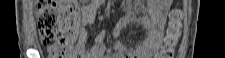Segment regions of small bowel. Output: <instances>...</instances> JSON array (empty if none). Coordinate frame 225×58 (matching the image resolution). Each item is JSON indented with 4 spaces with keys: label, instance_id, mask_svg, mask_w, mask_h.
I'll return each mask as SVG.
<instances>
[{
    "label": "small bowel",
    "instance_id": "obj_1",
    "mask_svg": "<svg viewBox=\"0 0 225 58\" xmlns=\"http://www.w3.org/2000/svg\"><path fill=\"white\" fill-rule=\"evenodd\" d=\"M104 0H92L82 7L81 29L76 44V53L79 58H151L159 51L166 14L170 7V0H156L147 4L150 14L148 18L136 19L127 15L120 19L113 30V37L118 40L121 30L131 24H138L145 28V34L134 47L118 44L116 50L106 46L107 32L101 31L95 37L88 49L86 46L88 33L86 28L94 24L99 8ZM131 1L126 2L130 7Z\"/></svg>",
    "mask_w": 225,
    "mask_h": 58
}]
</instances>
